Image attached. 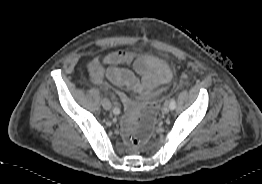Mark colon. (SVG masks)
<instances>
[{
  "label": "colon",
  "instance_id": "5ec220e1",
  "mask_svg": "<svg viewBox=\"0 0 262 184\" xmlns=\"http://www.w3.org/2000/svg\"><path fill=\"white\" fill-rule=\"evenodd\" d=\"M118 95L126 106L125 140L133 147H141L148 139L152 129L154 120L152 107L140 108L130 101L123 92H118Z\"/></svg>",
  "mask_w": 262,
  "mask_h": 184
}]
</instances>
